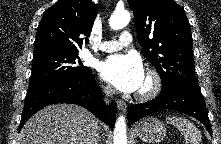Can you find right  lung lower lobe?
<instances>
[{"instance_id": "right-lung-lower-lobe-1", "label": "right lung lower lobe", "mask_w": 221, "mask_h": 144, "mask_svg": "<svg viewBox=\"0 0 221 144\" xmlns=\"http://www.w3.org/2000/svg\"><path fill=\"white\" fill-rule=\"evenodd\" d=\"M57 103L80 105L92 112L112 129L114 128L117 105L114 101L109 106L103 103L102 92L95 81L94 75L91 74L85 79L52 81L28 91L19 130L40 109Z\"/></svg>"}]
</instances>
